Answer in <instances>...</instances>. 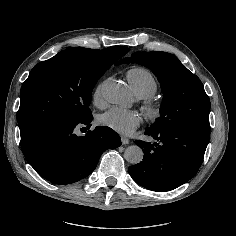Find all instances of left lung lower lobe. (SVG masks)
Listing matches in <instances>:
<instances>
[{"label": "left lung lower lobe", "mask_w": 236, "mask_h": 236, "mask_svg": "<svg viewBox=\"0 0 236 236\" xmlns=\"http://www.w3.org/2000/svg\"><path fill=\"white\" fill-rule=\"evenodd\" d=\"M154 144L141 140L143 160L128 171L140 186L153 191H170L189 181L202 164L210 131L198 128L147 129Z\"/></svg>", "instance_id": "left-lung-lower-lobe-1"}]
</instances>
